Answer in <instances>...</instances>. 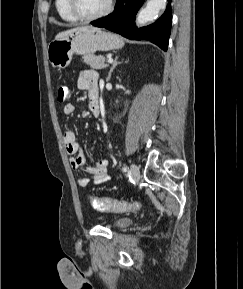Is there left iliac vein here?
Wrapping results in <instances>:
<instances>
[{
  "label": "left iliac vein",
  "instance_id": "4c4485c4",
  "mask_svg": "<svg viewBox=\"0 0 243 289\" xmlns=\"http://www.w3.org/2000/svg\"><path fill=\"white\" fill-rule=\"evenodd\" d=\"M130 173L135 182H138L140 179V170L136 164H131Z\"/></svg>",
  "mask_w": 243,
  "mask_h": 289
}]
</instances>
